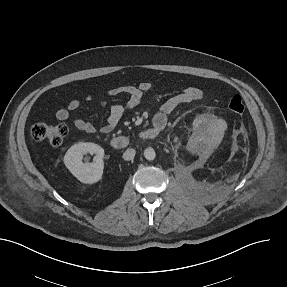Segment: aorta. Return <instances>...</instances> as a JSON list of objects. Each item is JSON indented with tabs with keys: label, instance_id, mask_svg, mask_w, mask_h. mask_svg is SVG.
<instances>
[{
	"label": "aorta",
	"instance_id": "obj_1",
	"mask_svg": "<svg viewBox=\"0 0 287 287\" xmlns=\"http://www.w3.org/2000/svg\"><path fill=\"white\" fill-rule=\"evenodd\" d=\"M144 157H145L147 160H149V161L154 160L155 157H156L155 150H154L153 148H151V147L146 148V149L144 150Z\"/></svg>",
	"mask_w": 287,
	"mask_h": 287
}]
</instances>
